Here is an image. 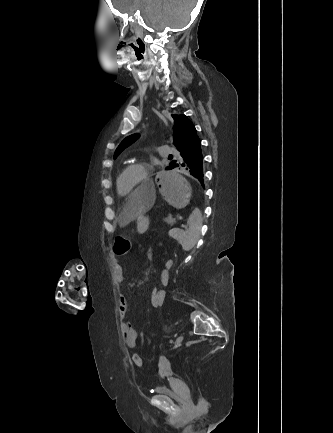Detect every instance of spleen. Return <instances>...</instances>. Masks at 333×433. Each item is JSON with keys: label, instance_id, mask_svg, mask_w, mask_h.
<instances>
[{"label": "spleen", "instance_id": "spleen-1", "mask_svg": "<svg viewBox=\"0 0 333 433\" xmlns=\"http://www.w3.org/2000/svg\"><path fill=\"white\" fill-rule=\"evenodd\" d=\"M202 218L203 213L201 212L200 207L195 206L192 208L191 216L187 221L188 226H184L183 229L176 228L169 234L181 244L183 250L189 251L196 245L200 237Z\"/></svg>", "mask_w": 333, "mask_h": 433}]
</instances>
